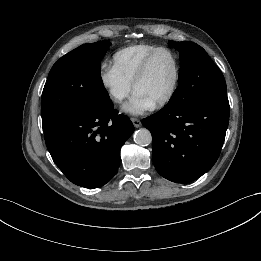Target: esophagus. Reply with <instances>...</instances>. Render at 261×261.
Wrapping results in <instances>:
<instances>
[{"label": "esophagus", "mask_w": 261, "mask_h": 261, "mask_svg": "<svg viewBox=\"0 0 261 261\" xmlns=\"http://www.w3.org/2000/svg\"><path fill=\"white\" fill-rule=\"evenodd\" d=\"M131 121L135 128H139L142 125L141 121L137 118H131Z\"/></svg>", "instance_id": "34e87169"}]
</instances>
